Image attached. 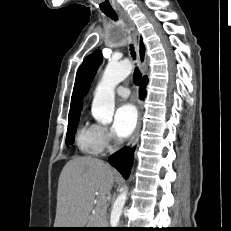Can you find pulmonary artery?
I'll use <instances>...</instances> for the list:
<instances>
[{
  "label": "pulmonary artery",
  "mask_w": 231,
  "mask_h": 231,
  "mask_svg": "<svg viewBox=\"0 0 231 231\" xmlns=\"http://www.w3.org/2000/svg\"><path fill=\"white\" fill-rule=\"evenodd\" d=\"M116 93L121 97L127 98L130 95V90L127 87L120 85L116 88Z\"/></svg>",
  "instance_id": "e3ab8cb5"
}]
</instances>
